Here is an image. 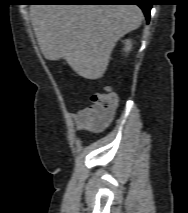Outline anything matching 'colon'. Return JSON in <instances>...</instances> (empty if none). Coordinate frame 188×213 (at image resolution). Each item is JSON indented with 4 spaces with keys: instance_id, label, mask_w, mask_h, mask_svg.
I'll list each match as a JSON object with an SVG mask.
<instances>
[{
    "instance_id": "obj_1",
    "label": "colon",
    "mask_w": 188,
    "mask_h": 213,
    "mask_svg": "<svg viewBox=\"0 0 188 213\" xmlns=\"http://www.w3.org/2000/svg\"><path fill=\"white\" fill-rule=\"evenodd\" d=\"M118 103L117 96L108 89L94 93L91 96V104L88 107V117L95 125L111 118Z\"/></svg>"
}]
</instances>
